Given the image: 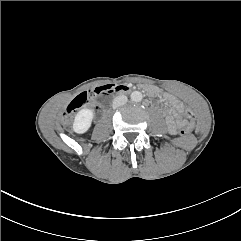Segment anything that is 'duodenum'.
<instances>
[{
    "label": "duodenum",
    "instance_id": "410a0bca",
    "mask_svg": "<svg viewBox=\"0 0 241 241\" xmlns=\"http://www.w3.org/2000/svg\"><path fill=\"white\" fill-rule=\"evenodd\" d=\"M127 91V88L124 86H116L113 88V92H116L118 94L125 93Z\"/></svg>",
    "mask_w": 241,
    "mask_h": 241
}]
</instances>
